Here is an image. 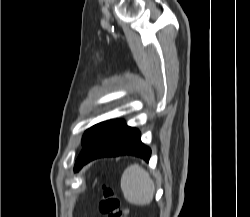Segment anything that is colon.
I'll return each instance as SVG.
<instances>
[{
	"label": "colon",
	"mask_w": 250,
	"mask_h": 217,
	"mask_svg": "<svg viewBox=\"0 0 250 217\" xmlns=\"http://www.w3.org/2000/svg\"><path fill=\"white\" fill-rule=\"evenodd\" d=\"M99 210L105 217H128L120 197L108 186L101 187Z\"/></svg>",
	"instance_id": "1"
}]
</instances>
